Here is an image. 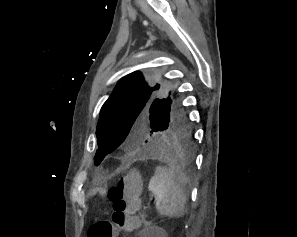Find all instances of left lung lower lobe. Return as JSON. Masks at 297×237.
Instances as JSON below:
<instances>
[{"label": "left lung lower lobe", "instance_id": "obj_1", "mask_svg": "<svg viewBox=\"0 0 297 237\" xmlns=\"http://www.w3.org/2000/svg\"><path fill=\"white\" fill-rule=\"evenodd\" d=\"M194 139L182 107L166 118L165 124L152 137L142 157H172L191 168L194 158Z\"/></svg>", "mask_w": 297, "mask_h": 237}]
</instances>
